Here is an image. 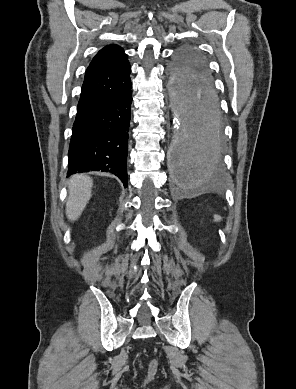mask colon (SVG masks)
<instances>
[{
  "mask_svg": "<svg viewBox=\"0 0 296 389\" xmlns=\"http://www.w3.org/2000/svg\"><path fill=\"white\" fill-rule=\"evenodd\" d=\"M157 368H158L157 361L155 359H152L149 363V368H148V373L150 377H152L156 373Z\"/></svg>",
  "mask_w": 296,
  "mask_h": 389,
  "instance_id": "colon-1",
  "label": "colon"
}]
</instances>
